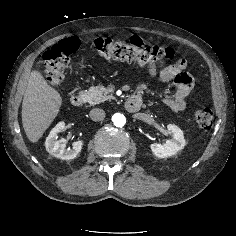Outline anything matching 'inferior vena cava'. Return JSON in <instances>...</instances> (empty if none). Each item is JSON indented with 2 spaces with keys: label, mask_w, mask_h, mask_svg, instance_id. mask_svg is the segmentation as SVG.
<instances>
[{
  "label": "inferior vena cava",
  "mask_w": 236,
  "mask_h": 236,
  "mask_svg": "<svg viewBox=\"0 0 236 236\" xmlns=\"http://www.w3.org/2000/svg\"><path fill=\"white\" fill-rule=\"evenodd\" d=\"M89 115L93 121H101L105 118V111L100 108H94L90 111Z\"/></svg>",
  "instance_id": "602c4592"
}]
</instances>
